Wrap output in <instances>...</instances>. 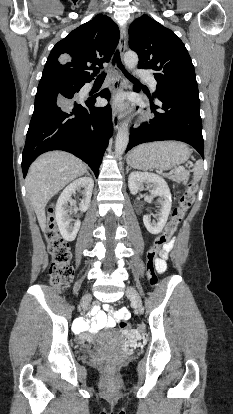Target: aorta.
<instances>
[{"label":"aorta","instance_id":"1","mask_svg":"<svg viewBox=\"0 0 233 414\" xmlns=\"http://www.w3.org/2000/svg\"><path fill=\"white\" fill-rule=\"evenodd\" d=\"M124 63L128 69H134L138 64V55L133 51H128L124 54ZM129 142L128 123L124 122L118 129L115 141V154L122 155Z\"/></svg>","mask_w":233,"mask_h":414}]
</instances>
